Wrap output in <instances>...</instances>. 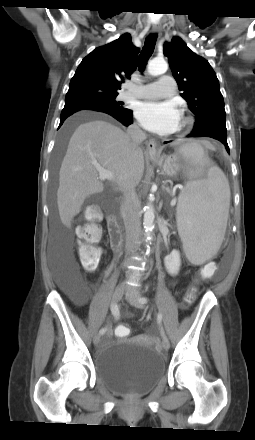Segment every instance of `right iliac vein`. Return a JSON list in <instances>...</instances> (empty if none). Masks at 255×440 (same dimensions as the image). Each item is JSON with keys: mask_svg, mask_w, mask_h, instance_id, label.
<instances>
[{"mask_svg": "<svg viewBox=\"0 0 255 440\" xmlns=\"http://www.w3.org/2000/svg\"><path fill=\"white\" fill-rule=\"evenodd\" d=\"M122 294H123V286L120 285V286L116 287L115 291L113 292L111 303L116 304L121 299ZM99 341H100V336H99V334H96L93 338L94 345H98Z\"/></svg>", "mask_w": 255, "mask_h": 440, "instance_id": "right-iliac-vein-1", "label": "right iliac vein"}]
</instances>
